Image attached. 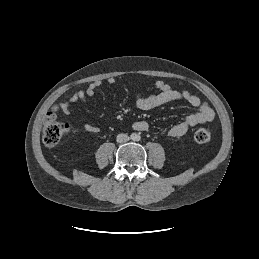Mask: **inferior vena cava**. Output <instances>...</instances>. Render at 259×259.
<instances>
[{
	"label": "inferior vena cava",
	"mask_w": 259,
	"mask_h": 259,
	"mask_svg": "<svg viewBox=\"0 0 259 259\" xmlns=\"http://www.w3.org/2000/svg\"><path fill=\"white\" fill-rule=\"evenodd\" d=\"M116 141L118 143H125V142L129 141V136L124 133L118 134L116 137Z\"/></svg>",
	"instance_id": "1"
}]
</instances>
